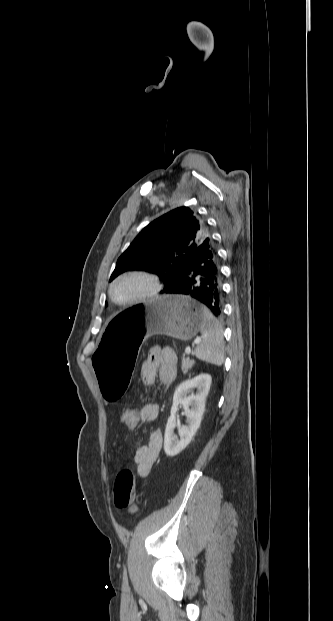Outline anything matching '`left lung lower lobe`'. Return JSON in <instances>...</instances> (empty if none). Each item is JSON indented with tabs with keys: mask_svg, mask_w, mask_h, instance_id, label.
Instances as JSON below:
<instances>
[{
	"mask_svg": "<svg viewBox=\"0 0 333 621\" xmlns=\"http://www.w3.org/2000/svg\"><path fill=\"white\" fill-rule=\"evenodd\" d=\"M188 295L206 305L215 316L222 313L221 272L217 250L205 239L188 259L180 277L162 292Z\"/></svg>",
	"mask_w": 333,
	"mask_h": 621,
	"instance_id": "0a47b994",
	"label": "left lung lower lobe"
}]
</instances>
